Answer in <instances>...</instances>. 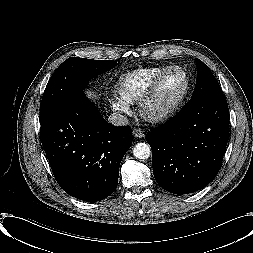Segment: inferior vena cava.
<instances>
[{
	"instance_id": "inferior-vena-cava-1",
	"label": "inferior vena cava",
	"mask_w": 253,
	"mask_h": 253,
	"mask_svg": "<svg viewBox=\"0 0 253 253\" xmlns=\"http://www.w3.org/2000/svg\"><path fill=\"white\" fill-rule=\"evenodd\" d=\"M109 123L115 126H125L128 124V119L122 114L113 113L108 118Z\"/></svg>"
}]
</instances>
